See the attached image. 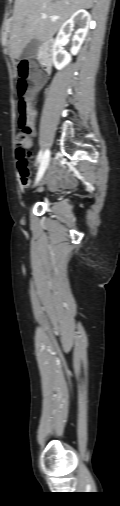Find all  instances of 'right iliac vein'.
Segmentation results:
<instances>
[{"label":"right iliac vein","instance_id":"obj_1","mask_svg":"<svg viewBox=\"0 0 120 506\" xmlns=\"http://www.w3.org/2000/svg\"><path fill=\"white\" fill-rule=\"evenodd\" d=\"M47 159H48V165H49V162H50V151H49V150H46V152L44 153L43 160H42V162H41V166H42L43 162H44L45 160H47ZM48 165H47V167H48ZM41 166H40V170H39V172H40V171H42ZM47 167H46V169H47ZM46 169L44 170L43 174L45 173ZM42 176H43V175H42Z\"/></svg>","mask_w":120,"mask_h":506}]
</instances>
